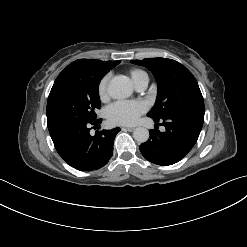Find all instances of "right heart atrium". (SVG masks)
Listing matches in <instances>:
<instances>
[{"label": "right heart atrium", "instance_id": "1", "mask_svg": "<svg viewBox=\"0 0 247 247\" xmlns=\"http://www.w3.org/2000/svg\"><path fill=\"white\" fill-rule=\"evenodd\" d=\"M108 80H109V76H107V75L104 76L100 80V82L98 84V88H97L98 97L103 102L107 101L109 98L108 89H107Z\"/></svg>", "mask_w": 247, "mask_h": 247}]
</instances>
